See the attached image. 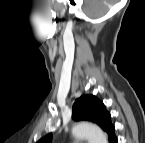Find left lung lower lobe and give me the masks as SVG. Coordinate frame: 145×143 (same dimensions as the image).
Segmentation results:
<instances>
[{
  "mask_svg": "<svg viewBox=\"0 0 145 143\" xmlns=\"http://www.w3.org/2000/svg\"><path fill=\"white\" fill-rule=\"evenodd\" d=\"M110 143H117V138L116 136L114 138H112L111 140H109Z\"/></svg>",
  "mask_w": 145,
  "mask_h": 143,
  "instance_id": "1",
  "label": "left lung lower lobe"
}]
</instances>
